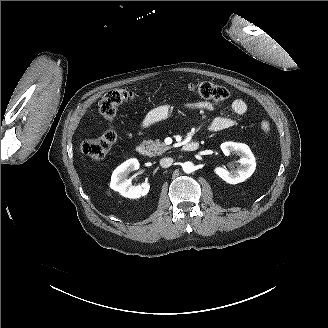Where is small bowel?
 Returning <instances> with one entry per match:
<instances>
[{"instance_id": "obj_1", "label": "small bowel", "mask_w": 328, "mask_h": 328, "mask_svg": "<svg viewBox=\"0 0 328 328\" xmlns=\"http://www.w3.org/2000/svg\"><path fill=\"white\" fill-rule=\"evenodd\" d=\"M185 107L193 111H208L214 108V104L210 101H197L187 103ZM231 109L236 115H243L247 111V104L242 99H235L231 104ZM172 112L170 105H160L150 110L141 122L142 128H148L164 119ZM237 122L229 117H216L209 123V129L213 132L223 131L234 127Z\"/></svg>"}]
</instances>
